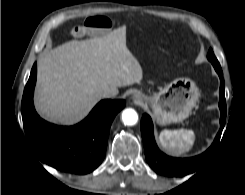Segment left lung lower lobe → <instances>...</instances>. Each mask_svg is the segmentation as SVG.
<instances>
[{
  "instance_id": "obj_1",
  "label": "left lung lower lobe",
  "mask_w": 245,
  "mask_h": 195,
  "mask_svg": "<svg viewBox=\"0 0 245 195\" xmlns=\"http://www.w3.org/2000/svg\"><path fill=\"white\" fill-rule=\"evenodd\" d=\"M216 72L220 77V101L219 108L221 111V130L215 138L212 146L202 155H198L193 158L178 159L165 155L162 153L154 139L153 135V124L151 118L144 114L141 119V134L144 143L145 156L148 164L151 168L162 175L165 176H184L194 172L199 164V162L209 153V151L214 147L219 139L222 129L225 124L226 119V101H225V86L221 67H214Z\"/></svg>"
}]
</instances>
